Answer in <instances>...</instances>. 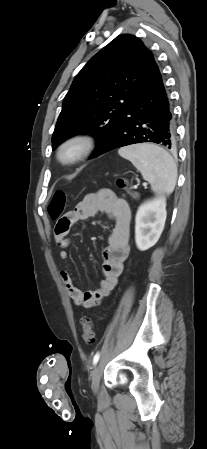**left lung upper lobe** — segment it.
I'll list each match as a JSON object with an SVG mask.
<instances>
[{"label":"left lung upper lobe","instance_id":"5c2ea615","mask_svg":"<svg viewBox=\"0 0 207 449\" xmlns=\"http://www.w3.org/2000/svg\"><path fill=\"white\" fill-rule=\"evenodd\" d=\"M156 62L132 35H119L92 57L75 77L64 98L52 149L75 134L96 138L97 155L115 134Z\"/></svg>","mask_w":207,"mask_h":449}]
</instances>
